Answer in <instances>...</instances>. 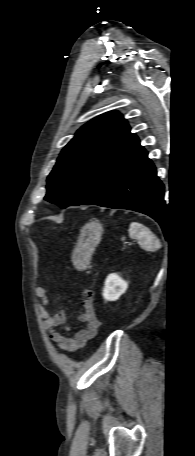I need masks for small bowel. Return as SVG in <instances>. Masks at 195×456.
Wrapping results in <instances>:
<instances>
[{
  "instance_id": "1",
  "label": "small bowel",
  "mask_w": 195,
  "mask_h": 456,
  "mask_svg": "<svg viewBox=\"0 0 195 456\" xmlns=\"http://www.w3.org/2000/svg\"><path fill=\"white\" fill-rule=\"evenodd\" d=\"M35 294L40 299L38 303V312L43 319L45 330L50 334L57 347L65 352H75L83 348L87 342L93 339L99 328V320L95 313L94 296L91 290H85L82 297L83 312L80 320L84 326L73 336L69 337L57 330V327L63 326L64 331H69L70 327L66 324V314L59 310L51 314L48 310L49 299L46 290L37 286Z\"/></svg>"
}]
</instances>
